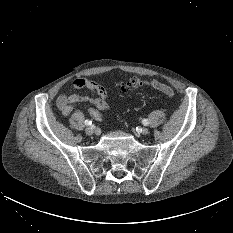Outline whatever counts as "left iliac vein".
<instances>
[{
	"label": "left iliac vein",
	"instance_id": "4c4485c4",
	"mask_svg": "<svg viewBox=\"0 0 233 233\" xmlns=\"http://www.w3.org/2000/svg\"><path fill=\"white\" fill-rule=\"evenodd\" d=\"M148 132H149V130L145 127L141 129V134L146 135V134H148Z\"/></svg>",
	"mask_w": 233,
	"mask_h": 233
}]
</instances>
